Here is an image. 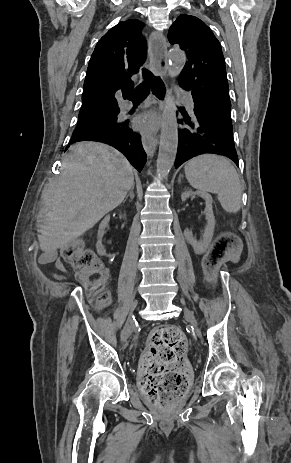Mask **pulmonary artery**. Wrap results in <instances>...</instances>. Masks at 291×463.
Listing matches in <instances>:
<instances>
[{"label":"pulmonary artery","mask_w":291,"mask_h":463,"mask_svg":"<svg viewBox=\"0 0 291 463\" xmlns=\"http://www.w3.org/2000/svg\"><path fill=\"white\" fill-rule=\"evenodd\" d=\"M174 92H175V95L177 97H179L180 99H182L184 101V103L187 106L188 111L191 114H193V112H194V102H193L192 98L186 92H184V91H182V90H180L178 88H176ZM120 107H121V110L124 112V111L130 110L132 108V104L130 102L124 101V102L121 103Z\"/></svg>","instance_id":"pulmonary-artery-1"}]
</instances>
